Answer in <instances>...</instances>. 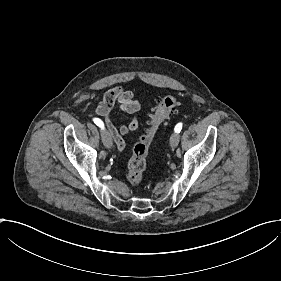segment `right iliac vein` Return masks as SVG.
<instances>
[{
  "mask_svg": "<svg viewBox=\"0 0 281 281\" xmlns=\"http://www.w3.org/2000/svg\"><path fill=\"white\" fill-rule=\"evenodd\" d=\"M100 133L102 135L101 139H102L103 144L106 147V149H111V146H114V145L112 143V139H111L110 135L108 134L109 133L108 129H106L104 131L100 130Z\"/></svg>",
  "mask_w": 281,
  "mask_h": 281,
  "instance_id": "1",
  "label": "right iliac vein"
}]
</instances>
